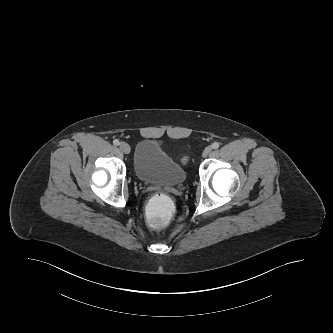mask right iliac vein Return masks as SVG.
<instances>
[{"instance_id": "obj_1", "label": "right iliac vein", "mask_w": 333, "mask_h": 333, "mask_svg": "<svg viewBox=\"0 0 333 333\" xmlns=\"http://www.w3.org/2000/svg\"><path fill=\"white\" fill-rule=\"evenodd\" d=\"M119 148L125 154L130 153V146L125 142L120 143Z\"/></svg>"}]
</instances>
